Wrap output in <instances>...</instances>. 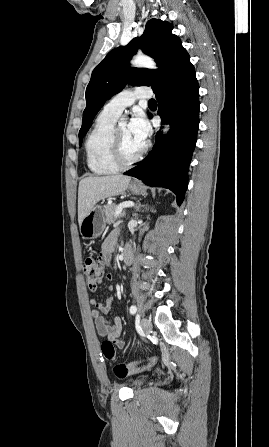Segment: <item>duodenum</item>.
<instances>
[{
  "mask_svg": "<svg viewBox=\"0 0 269 447\" xmlns=\"http://www.w3.org/2000/svg\"><path fill=\"white\" fill-rule=\"evenodd\" d=\"M122 262L124 267H129L133 262V253L129 248H126L122 253Z\"/></svg>",
  "mask_w": 269,
  "mask_h": 447,
  "instance_id": "410a0bca",
  "label": "duodenum"
}]
</instances>
